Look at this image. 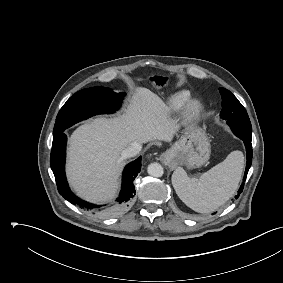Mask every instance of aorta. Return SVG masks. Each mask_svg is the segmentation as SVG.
Returning a JSON list of instances; mask_svg holds the SVG:
<instances>
[{
    "instance_id": "aorta-1",
    "label": "aorta",
    "mask_w": 283,
    "mask_h": 283,
    "mask_svg": "<svg viewBox=\"0 0 283 283\" xmlns=\"http://www.w3.org/2000/svg\"><path fill=\"white\" fill-rule=\"evenodd\" d=\"M147 171L153 177H161L164 173L163 167L159 163H151Z\"/></svg>"
}]
</instances>
